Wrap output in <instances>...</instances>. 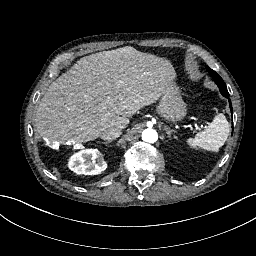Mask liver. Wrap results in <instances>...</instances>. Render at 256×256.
<instances>
[{
	"label": "liver",
	"mask_w": 256,
	"mask_h": 256,
	"mask_svg": "<svg viewBox=\"0 0 256 256\" xmlns=\"http://www.w3.org/2000/svg\"><path fill=\"white\" fill-rule=\"evenodd\" d=\"M176 79L167 57L132 46L91 54L50 85L36 111L37 132L48 144L94 141L109 129L126 128Z\"/></svg>",
	"instance_id": "obj_1"
}]
</instances>
